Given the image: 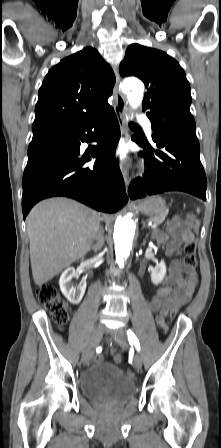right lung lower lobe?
Wrapping results in <instances>:
<instances>
[{
	"mask_svg": "<svg viewBox=\"0 0 221 448\" xmlns=\"http://www.w3.org/2000/svg\"><path fill=\"white\" fill-rule=\"evenodd\" d=\"M119 138L117 117L108 106L82 123L32 141L22 180L24 219L38 201L53 196H67L109 213L122 208L128 197L115 161ZM89 140L97 145L90 155L82 154L80 145ZM91 157L97 158L93 164Z\"/></svg>",
	"mask_w": 221,
	"mask_h": 448,
	"instance_id": "right-lung-lower-lobe-1",
	"label": "right lung lower lobe"
}]
</instances>
